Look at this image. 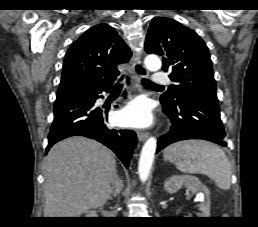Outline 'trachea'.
Instances as JSON below:
<instances>
[{
  "mask_svg": "<svg viewBox=\"0 0 258 227\" xmlns=\"http://www.w3.org/2000/svg\"><path fill=\"white\" fill-rule=\"evenodd\" d=\"M142 84L147 88H163V86L156 85L147 79H142ZM122 86H123L122 84L116 83L114 86V89H122Z\"/></svg>",
  "mask_w": 258,
  "mask_h": 227,
  "instance_id": "trachea-1",
  "label": "trachea"
}]
</instances>
